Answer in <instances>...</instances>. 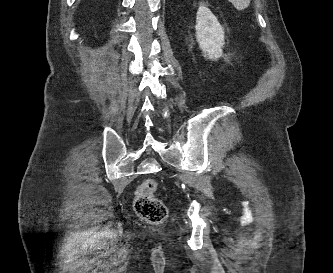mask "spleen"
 <instances>
[{
  "mask_svg": "<svg viewBox=\"0 0 333 273\" xmlns=\"http://www.w3.org/2000/svg\"><path fill=\"white\" fill-rule=\"evenodd\" d=\"M231 2L237 10H244L250 4L251 0H228Z\"/></svg>",
  "mask_w": 333,
  "mask_h": 273,
  "instance_id": "3e777b00",
  "label": "spleen"
}]
</instances>
